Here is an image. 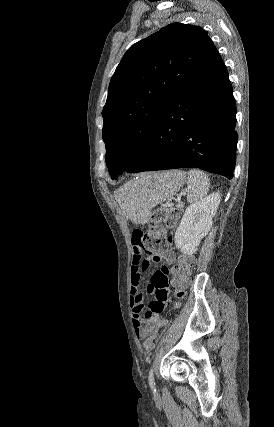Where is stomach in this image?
<instances>
[{
	"label": "stomach",
	"mask_w": 274,
	"mask_h": 427,
	"mask_svg": "<svg viewBox=\"0 0 274 427\" xmlns=\"http://www.w3.org/2000/svg\"><path fill=\"white\" fill-rule=\"evenodd\" d=\"M186 182L185 172L171 170L161 174H142L120 188L126 214L136 223H146L150 210L159 202L170 200Z\"/></svg>",
	"instance_id": "obj_1"
}]
</instances>
